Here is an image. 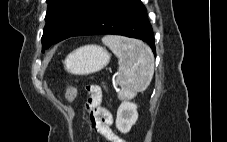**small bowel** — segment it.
<instances>
[{
	"label": "small bowel",
	"instance_id": "small-bowel-1",
	"mask_svg": "<svg viewBox=\"0 0 227 142\" xmlns=\"http://www.w3.org/2000/svg\"><path fill=\"white\" fill-rule=\"evenodd\" d=\"M85 91L89 95L85 110L91 127L101 134L108 142H126L110 128L113 117L107 109L101 106V88L97 85H90L85 88Z\"/></svg>",
	"mask_w": 227,
	"mask_h": 142
}]
</instances>
